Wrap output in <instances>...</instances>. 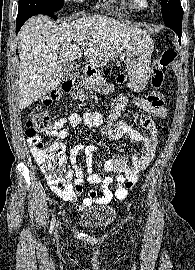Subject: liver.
<instances>
[{"label":"liver","instance_id":"1","mask_svg":"<svg viewBox=\"0 0 195 270\" xmlns=\"http://www.w3.org/2000/svg\"><path fill=\"white\" fill-rule=\"evenodd\" d=\"M138 35L147 34L103 15L84 16L58 25L42 15L29 19L19 32V108L25 109L61 83V62H72L81 56L79 39H83L86 61L95 69L113 61Z\"/></svg>","mask_w":195,"mask_h":270}]
</instances>
